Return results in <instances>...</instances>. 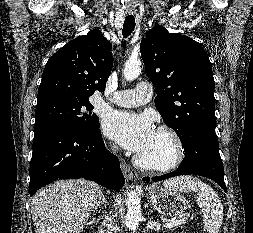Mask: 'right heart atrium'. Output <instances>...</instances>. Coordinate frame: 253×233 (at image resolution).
Wrapping results in <instances>:
<instances>
[{
    "mask_svg": "<svg viewBox=\"0 0 253 233\" xmlns=\"http://www.w3.org/2000/svg\"><path fill=\"white\" fill-rule=\"evenodd\" d=\"M111 148L114 149L115 147L112 145Z\"/></svg>",
    "mask_w": 253,
    "mask_h": 233,
    "instance_id": "1",
    "label": "right heart atrium"
}]
</instances>
